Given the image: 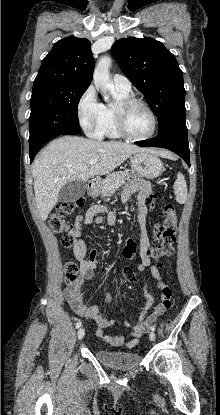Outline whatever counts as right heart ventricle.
Wrapping results in <instances>:
<instances>
[{
  "mask_svg": "<svg viewBox=\"0 0 220 415\" xmlns=\"http://www.w3.org/2000/svg\"><path fill=\"white\" fill-rule=\"evenodd\" d=\"M115 96L118 101L126 99L129 97V93L124 94L115 90ZM119 138L120 135L118 134L116 127H115V120H114V106L108 105L105 106V120L102 127V132L100 138Z\"/></svg>",
  "mask_w": 220,
  "mask_h": 415,
  "instance_id": "right-heart-ventricle-1",
  "label": "right heart ventricle"
}]
</instances>
